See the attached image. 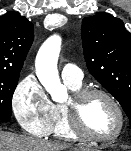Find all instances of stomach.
<instances>
[{
	"instance_id": "obj_1",
	"label": "stomach",
	"mask_w": 131,
	"mask_h": 151,
	"mask_svg": "<svg viewBox=\"0 0 131 151\" xmlns=\"http://www.w3.org/2000/svg\"><path fill=\"white\" fill-rule=\"evenodd\" d=\"M88 151H100V150H88Z\"/></svg>"
}]
</instances>
